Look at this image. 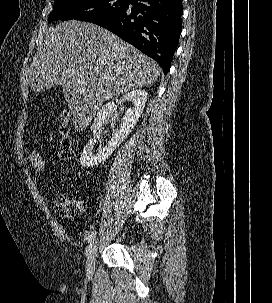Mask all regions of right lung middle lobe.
<instances>
[{"label": "right lung middle lobe", "mask_w": 272, "mask_h": 303, "mask_svg": "<svg viewBox=\"0 0 272 303\" xmlns=\"http://www.w3.org/2000/svg\"><path fill=\"white\" fill-rule=\"evenodd\" d=\"M131 0H56L48 22L80 20L95 22L129 8Z\"/></svg>", "instance_id": "1"}]
</instances>
